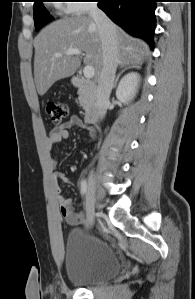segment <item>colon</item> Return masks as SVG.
<instances>
[{
    "instance_id": "1",
    "label": "colon",
    "mask_w": 195,
    "mask_h": 299,
    "mask_svg": "<svg viewBox=\"0 0 195 299\" xmlns=\"http://www.w3.org/2000/svg\"><path fill=\"white\" fill-rule=\"evenodd\" d=\"M46 111L51 118L52 123L59 124L68 116L69 106L64 101H48Z\"/></svg>"
}]
</instances>
